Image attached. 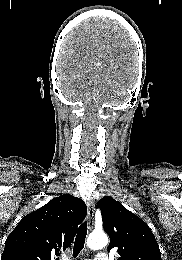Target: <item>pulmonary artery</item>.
<instances>
[{"label":"pulmonary artery","instance_id":"e3ab8cb5","mask_svg":"<svg viewBox=\"0 0 182 260\" xmlns=\"http://www.w3.org/2000/svg\"><path fill=\"white\" fill-rule=\"evenodd\" d=\"M93 260H108V255L106 253L100 252L96 254Z\"/></svg>","mask_w":182,"mask_h":260}]
</instances>
